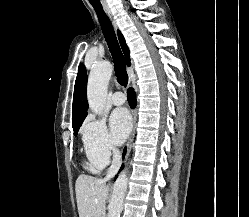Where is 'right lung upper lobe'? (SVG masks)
Segmentation results:
<instances>
[{
    "mask_svg": "<svg viewBox=\"0 0 249 217\" xmlns=\"http://www.w3.org/2000/svg\"><path fill=\"white\" fill-rule=\"evenodd\" d=\"M118 38L121 48L127 60V65L130 66L129 49L126 45L125 39L118 30ZM87 73L83 64L78 67V74L75 81L74 97L72 106V126L82 123L87 116L88 102L86 96Z\"/></svg>",
    "mask_w": 249,
    "mask_h": 217,
    "instance_id": "obj_1",
    "label": "right lung upper lobe"
}]
</instances>
